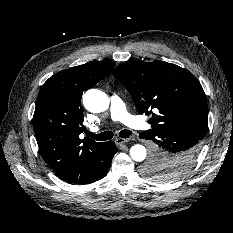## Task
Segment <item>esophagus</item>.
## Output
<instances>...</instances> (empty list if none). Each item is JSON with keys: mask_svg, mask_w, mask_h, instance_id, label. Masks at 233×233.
Listing matches in <instances>:
<instances>
[{"mask_svg": "<svg viewBox=\"0 0 233 233\" xmlns=\"http://www.w3.org/2000/svg\"><path fill=\"white\" fill-rule=\"evenodd\" d=\"M130 141V138H117L115 140L116 145L120 146Z\"/></svg>", "mask_w": 233, "mask_h": 233, "instance_id": "obj_1", "label": "esophagus"}]
</instances>
